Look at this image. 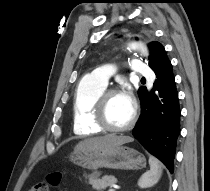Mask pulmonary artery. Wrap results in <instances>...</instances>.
I'll list each match as a JSON object with an SVG mask.
<instances>
[{
	"instance_id": "e3ab8cb5",
	"label": "pulmonary artery",
	"mask_w": 210,
	"mask_h": 191,
	"mask_svg": "<svg viewBox=\"0 0 210 191\" xmlns=\"http://www.w3.org/2000/svg\"><path fill=\"white\" fill-rule=\"evenodd\" d=\"M130 66L132 67L133 71L140 76L150 77L152 75L151 70L140 60H131ZM113 73V66L110 64H106L89 72L87 74V78L106 86Z\"/></svg>"
}]
</instances>
